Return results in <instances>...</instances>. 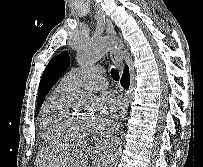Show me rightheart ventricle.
Segmentation results:
<instances>
[{
	"mask_svg": "<svg viewBox=\"0 0 203 167\" xmlns=\"http://www.w3.org/2000/svg\"><path fill=\"white\" fill-rule=\"evenodd\" d=\"M74 88L61 82L47 98L41 115V134L50 144H64L77 139L71 126L70 98Z\"/></svg>",
	"mask_w": 203,
	"mask_h": 167,
	"instance_id": "right-heart-ventricle-1",
	"label": "right heart ventricle"
}]
</instances>
